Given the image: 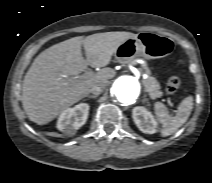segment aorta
I'll list each match as a JSON object with an SVG mask.
<instances>
[{
	"mask_svg": "<svg viewBox=\"0 0 212 183\" xmlns=\"http://www.w3.org/2000/svg\"><path fill=\"white\" fill-rule=\"evenodd\" d=\"M140 92V82L135 77L129 75L118 77L111 88L113 99L121 105L134 103L139 97Z\"/></svg>",
	"mask_w": 212,
	"mask_h": 183,
	"instance_id": "aorta-1",
	"label": "aorta"
}]
</instances>
